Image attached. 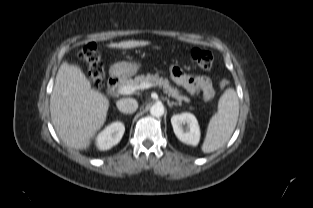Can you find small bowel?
<instances>
[{"mask_svg":"<svg viewBox=\"0 0 313 208\" xmlns=\"http://www.w3.org/2000/svg\"><path fill=\"white\" fill-rule=\"evenodd\" d=\"M171 76L176 84L191 94L201 92L205 100H210L214 96L212 82L208 77L188 74L179 66L171 67Z\"/></svg>","mask_w":313,"mask_h":208,"instance_id":"c3829d8e","label":"small bowel"}]
</instances>
